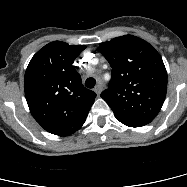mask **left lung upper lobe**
Here are the masks:
<instances>
[{"label": "left lung upper lobe", "instance_id": "5c2ea615", "mask_svg": "<svg viewBox=\"0 0 187 187\" xmlns=\"http://www.w3.org/2000/svg\"><path fill=\"white\" fill-rule=\"evenodd\" d=\"M112 67L111 80L101 97L118 121L128 127L150 123L166 96L167 72L156 49L143 39L125 35L99 45Z\"/></svg>", "mask_w": 187, "mask_h": 187}]
</instances>
